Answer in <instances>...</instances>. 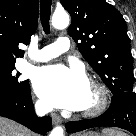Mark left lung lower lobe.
<instances>
[{
    "instance_id": "obj_1",
    "label": "left lung lower lobe",
    "mask_w": 136,
    "mask_h": 136,
    "mask_svg": "<svg viewBox=\"0 0 136 136\" xmlns=\"http://www.w3.org/2000/svg\"><path fill=\"white\" fill-rule=\"evenodd\" d=\"M99 126L119 127L136 136L135 92L113 94L111 105L104 114L93 119L70 121L66 124V130L73 133Z\"/></svg>"
}]
</instances>
